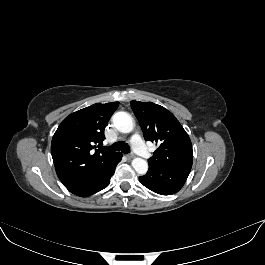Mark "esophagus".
Listing matches in <instances>:
<instances>
[{"mask_svg":"<svg viewBox=\"0 0 265 265\" xmlns=\"http://www.w3.org/2000/svg\"><path fill=\"white\" fill-rule=\"evenodd\" d=\"M126 157L131 160L133 158H135V155L134 154H127Z\"/></svg>","mask_w":265,"mask_h":265,"instance_id":"34e87169","label":"esophagus"}]
</instances>
